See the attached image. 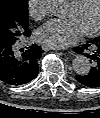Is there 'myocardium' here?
Returning a JSON list of instances; mask_svg holds the SVG:
<instances>
[{"label":"myocardium","mask_w":100,"mask_h":118,"mask_svg":"<svg viewBox=\"0 0 100 118\" xmlns=\"http://www.w3.org/2000/svg\"><path fill=\"white\" fill-rule=\"evenodd\" d=\"M85 0H71V4L75 7H80ZM100 30V0H99V17L97 24L90 30L83 32L86 37H93L95 36Z\"/></svg>","instance_id":"myocardium-1"}]
</instances>
